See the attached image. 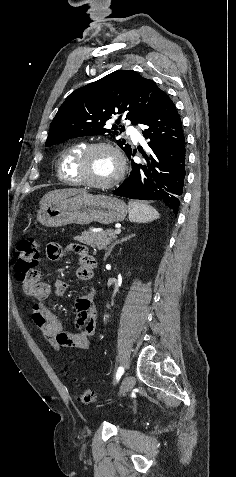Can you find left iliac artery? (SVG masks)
<instances>
[{
    "instance_id": "44dca946",
    "label": "left iliac artery",
    "mask_w": 236,
    "mask_h": 477,
    "mask_svg": "<svg viewBox=\"0 0 236 477\" xmlns=\"http://www.w3.org/2000/svg\"><path fill=\"white\" fill-rule=\"evenodd\" d=\"M123 373H124V368L120 366L117 370V373H116V380L117 381H119V379L121 378Z\"/></svg>"
}]
</instances>
